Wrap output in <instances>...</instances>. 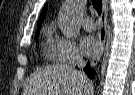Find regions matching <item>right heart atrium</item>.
Instances as JSON below:
<instances>
[{
    "label": "right heart atrium",
    "instance_id": "right-heart-atrium-1",
    "mask_svg": "<svg viewBox=\"0 0 135 95\" xmlns=\"http://www.w3.org/2000/svg\"><path fill=\"white\" fill-rule=\"evenodd\" d=\"M52 60L58 63L68 62L71 59L81 58V53L75 44L69 38L56 37L51 43Z\"/></svg>",
    "mask_w": 135,
    "mask_h": 95
}]
</instances>
